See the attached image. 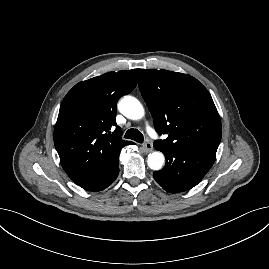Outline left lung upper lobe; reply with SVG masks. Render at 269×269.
<instances>
[{
  "instance_id": "1",
  "label": "left lung upper lobe",
  "mask_w": 269,
  "mask_h": 269,
  "mask_svg": "<svg viewBox=\"0 0 269 269\" xmlns=\"http://www.w3.org/2000/svg\"><path fill=\"white\" fill-rule=\"evenodd\" d=\"M139 89L159 134L154 146L193 147L216 152L221 121L207 89L194 77L156 69H143Z\"/></svg>"
}]
</instances>
